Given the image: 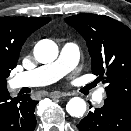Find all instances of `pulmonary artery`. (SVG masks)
<instances>
[{"instance_id":"pulmonary-artery-1","label":"pulmonary artery","mask_w":131,"mask_h":131,"mask_svg":"<svg viewBox=\"0 0 131 131\" xmlns=\"http://www.w3.org/2000/svg\"><path fill=\"white\" fill-rule=\"evenodd\" d=\"M79 61V47L73 42L63 45L56 61L40 66L36 69L18 73L12 79L15 88L36 87L51 84L75 68ZM104 87L99 88L93 94L96 102H101L104 97Z\"/></svg>"}]
</instances>
